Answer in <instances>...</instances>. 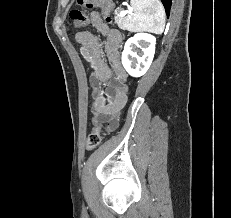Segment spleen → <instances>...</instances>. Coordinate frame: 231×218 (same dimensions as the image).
<instances>
[{
	"mask_svg": "<svg viewBox=\"0 0 231 218\" xmlns=\"http://www.w3.org/2000/svg\"><path fill=\"white\" fill-rule=\"evenodd\" d=\"M132 10L124 18L130 32L149 31L161 34L165 28V10L160 0H131Z\"/></svg>",
	"mask_w": 231,
	"mask_h": 218,
	"instance_id": "spleen-1",
	"label": "spleen"
}]
</instances>
